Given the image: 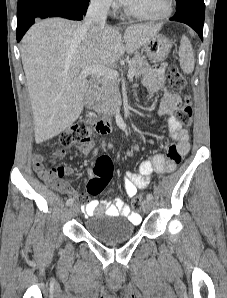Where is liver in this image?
<instances>
[{
  "label": "liver",
  "mask_w": 227,
  "mask_h": 298,
  "mask_svg": "<svg viewBox=\"0 0 227 298\" xmlns=\"http://www.w3.org/2000/svg\"><path fill=\"white\" fill-rule=\"evenodd\" d=\"M63 18L37 21L22 39L21 57L34 116L36 143L49 140L80 116L89 83L80 73L90 66H113L134 53L161 25H132L122 35L112 27L85 33Z\"/></svg>",
  "instance_id": "obj_1"
}]
</instances>
